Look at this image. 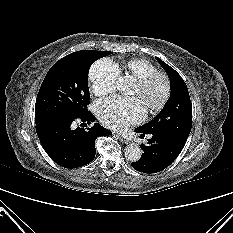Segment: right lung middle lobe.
<instances>
[{"mask_svg":"<svg viewBox=\"0 0 233 233\" xmlns=\"http://www.w3.org/2000/svg\"><path fill=\"white\" fill-rule=\"evenodd\" d=\"M110 54L107 51L80 50L57 61L46 74L37 95L36 123L74 118L87 111L90 66Z\"/></svg>","mask_w":233,"mask_h":233,"instance_id":"right-lung-middle-lobe-1","label":"right lung middle lobe"}]
</instances>
